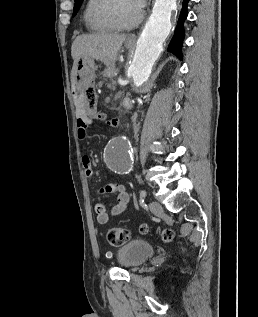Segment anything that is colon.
Returning <instances> with one entry per match:
<instances>
[{"label":"colon","mask_w":258,"mask_h":317,"mask_svg":"<svg viewBox=\"0 0 258 317\" xmlns=\"http://www.w3.org/2000/svg\"><path fill=\"white\" fill-rule=\"evenodd\" d=\"M83 106L85 110L94 118L101 119L103 118V115L98 112L97 110V93L95 86L93 84H90L87 86L83 93ZM142 232L147 231V227L143 226L141 228ZM162 237L165 241H169L172 239L173 234L170 230H164L162 232ZM130 239V233L128 230L114 227L108 230L107 232V241L109 244L113 246H120L128 242Z\"/></svg>","instance_id":"obj_1"}]
</instances>
